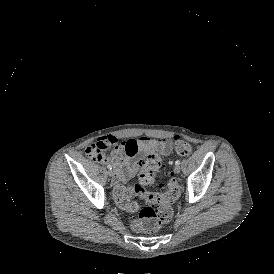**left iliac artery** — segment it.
Masks as SVG:
<instances>
[{"label": "left iliac artery", "instance_id": "left-iliac-artery-1", "mask_svg": "<svg viewBox=\"0 0 274 274\" xmlns=\"http://www.w3.org/2000/svg\"><path fill=\"white\" fill-rule=\"evenodd\" d=\"M181 161L180 160H176L175 164L176 165H180Z\"/></svg>", "mask_w": 274, "mask_h": 274}]
</instances>
